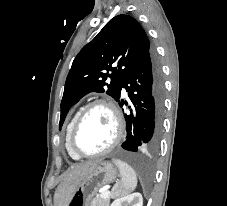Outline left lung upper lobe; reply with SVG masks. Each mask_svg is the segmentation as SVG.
<instances>
[{
    "label": "left lung upper lobe",
    "mask_w": 227,
    "mask_h": 206,
    "mask_svg": "<svg viewBox=\"0 0 227 206\" xmlns=\"http://www.w3.org/2000/svg\"><path fill=\"white\" fill-rule=\"evenodd\" d=\"M151 51L138 21L124 14L112 18L72 63L61 101L60 128L69 109L89 92L106 91L118 101L124 78Z\"/></svg>",
    "instance_id": "left-lung-upper-lobe-1"
}]
</instances>
